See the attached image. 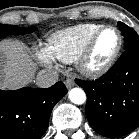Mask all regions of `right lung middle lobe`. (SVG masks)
Masks as SVG:
<instances>
[{
  "label": "right lung middle lobe",
  "instance_id": "right-lung-middle-lobe-1",
  "mask_svg": "<svg viewBox=\"0 0 139 139\" xmlns=\"http://www.w3.org/2000/svg\"><path fill=\"white\" fill-rule=\"evenodd\" d=\"M36 30V28H21L15 25L0 24V38L7 35L28 34Z\"/></svg>",
  "mask_w": 139,
  "mask_h": 139
}]
</instances>
